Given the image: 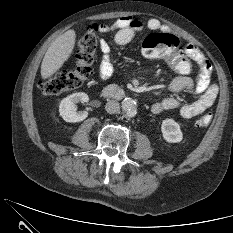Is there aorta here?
Returning <instances> with one entry per match:
<instances>
[{
	"label": "aorta",
	"mask_w": 233,
	"mask_h": 233,
	"mask_svg": "<svg viewBox=\"0 0 233 233\" xmlns=\"http://www.w3.org/2000/svg\"><path fill=\"white\" fill-rule=\"evenodd\" d=\"M121 107L128 117H134L137 114V103L133 98L126 97L123 99Z\"/></svg>",
	"instance_id": "1"
}]
</instances>
